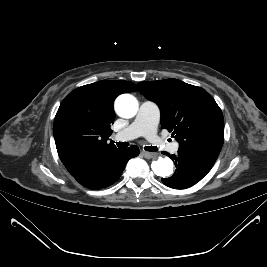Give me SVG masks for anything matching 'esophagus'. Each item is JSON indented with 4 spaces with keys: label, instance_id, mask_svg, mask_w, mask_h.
Masks as SVG:
<instances>
[{
    "label": "esophagus",
    "instance_id": "esophagus-1",
    "mask_svg": "<svg viewBox=\"0 0 267 267\" xmlns=\"http://www.w3.org/2000/svg\"><path fill=\"white\" fill-rule=\"evenodd\" d=\"M143 156L147 159H151V158H154L156 156L155 153H152V152H146V151H143L142 152Z\"/></svg>",
    "mask_w": 267,
    "mask_h": 267
}]
</instances>
